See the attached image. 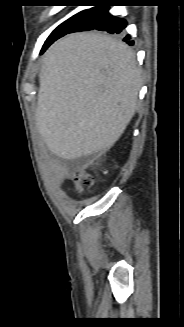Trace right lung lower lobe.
Here are the masks:
<instances>
[{
  "instance_id": "obj_1",
  "label": "right lung lower lobe",
  "mask_w": 184,
  "mask_h": 327,
  "mask_svg": "<svg viewBox=\"0 0 184 327\" xmlns=\"http://www.w3.org/2000/svg\"><path fill=\"white\" fill-rule=\"evenodd\" d=\"M125 19L113 16L109 13V6L94 7L85 13L84 17L68 33L78 31L99 30L108 33H121L126 28ZM67 33V34H68ZM130 36L124 38L128 44L133 45V41H127Z\"/></svg>"
}]
</instances>
